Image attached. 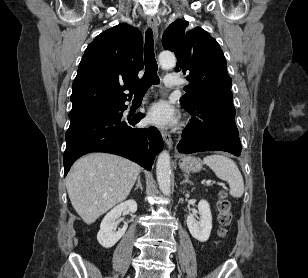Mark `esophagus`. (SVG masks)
<instances>
[{
  "label": "esophagus",
  "mask_w": 308,
  "mask_h": 278,
  "mask_svg": "<svg viewBox=\"0 0 308 278\" xmlns=\"http://www.w3.org/2000/svg\"><path fill=\"white\" fill-rule=\"evenodd\" d=\"M147 24L151 28L154 35V40L156 42L158 38V23L156 19L153 16H147ZM161 135L167 147L171 148L173 144L171 135L164 130L161 131Z\"/></svg>",
  "instance_id": "34e87169"
}]
</instances>
